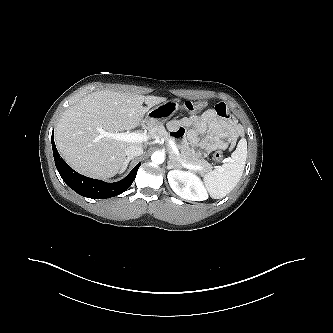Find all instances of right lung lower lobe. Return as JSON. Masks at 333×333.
Returning <instances> with one entry per match:
<instances>
[{
    "instance_id": "obj_1",
    "label": "right lung lower lobe",
    "mask_w": 333,
    "mask_h": 333,
    "mask_svg": "<svg viewBox=\"0 0 333 333\" xmlns=\"http://www.w3.org/2000/svg\"><path fill=\"white\" fill-rule=\"evenodd\" d=\"M52 149L56 168L63 179V181L78 194L92 198V199H105L119 195L126 191L133 183L140 163L137 164L127 177L115 183H106L100 180L91 179L83 176L71 167L60 157L52 134Z\"/></svg>"
}]
</instances>
